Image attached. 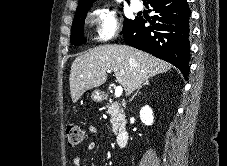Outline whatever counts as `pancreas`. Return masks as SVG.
Returning a JSON list of instances; mask_svg holds the SVG:
<instances>
[{"label": "pancreas", "instance_id": "pancreas-1", "mask_svg": "<svg viewBox=\"0 0 227 166\" xmlns=\"http://www.w3.org/2000/svg\"><path fill=\"white\" fill-rule=\"evenodd\" d=\"M106 107L111 116L112 131L117 134L118 129L126 124L124 111L117 102L108 103Z\"/></svg>", "mask_w": 227, "mask_h": 166}]
</instances>
